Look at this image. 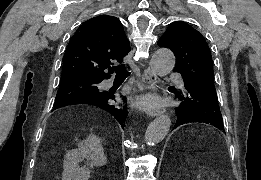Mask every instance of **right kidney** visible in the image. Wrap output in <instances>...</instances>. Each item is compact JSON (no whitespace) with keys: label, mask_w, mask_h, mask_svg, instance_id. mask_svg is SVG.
Segmentation results:
<instances>
[{"label":"right kidney","mask_w":261,"mask_h":180,"mask_svg":"<svg viewBox=\"0 0 261 180\" xmlns=\"http://www.w3.org/2000/svg\"><path fill=\"white\" fill-rule=\"evenodd\" d=\"M77 150H71L65 156L63 180H88L90 168L93 166H105L107 160L101 146V140L94 134H89L84 142L77 144ZM92 160L86 166L89 168H80V160Z\"/></svg>","instance_id":"ca27d5eb"}]
</instances>
